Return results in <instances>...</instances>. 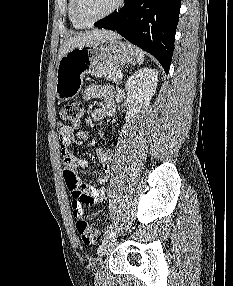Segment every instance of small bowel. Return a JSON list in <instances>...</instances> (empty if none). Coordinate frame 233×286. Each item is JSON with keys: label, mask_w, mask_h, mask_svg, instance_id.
<instances>
[{"label": "small bowel", "mask_w": 233, "mask_h": 286, "mask_svg": "<svg viewBox=\"0 0 233 286\" xmlns=\"http://www.w3.org/2000/svg\"><path fill=\"white\" fill-rule=\"evenodd\" d=\"M93 98L104 99L103 106L94 109L92 119L101 121L107 117H111L115 113L114 91L110 86L90 84L83 92L84 100ZM58 135L60 139V152L63 157L64 171L63 176L66 186L75 200L74 212L75 215L80 213L82 205H93L102 201L105 197V190L101 186H93L83 181L77 170L85 168L88 165L86 159L73 154L70 148L73 144L74 130L71 126L65 124L58 125ZM76 136L85 140L87 134L83 131H78ZM98 159L101 164L102 174L99 177V184L104 185L109 180L110 167L112 161V152L107 147H102L98 150Z\"/></svg>", "instance_id": "c3829d8e"}]
</instances>
